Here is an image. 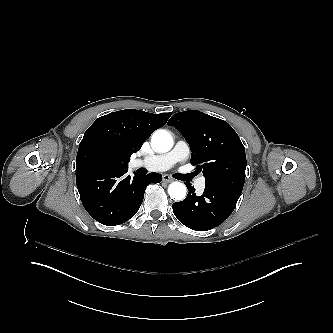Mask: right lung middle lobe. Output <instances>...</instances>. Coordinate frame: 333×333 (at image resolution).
I'll return each mask as SVG.
<instances>
[{"label":"right lung middle lobe","mask_w":333,"mask_h":333,"mask_svg":"<svg viewBox=\"0 0 333 333\" xmlns=\"http://www.w3.org/2000/svg\"><path fill=\"white\" fill-rule=\"evenodd\" d=\"M91 167L114 168V165L103 157H95L91 162Z\"/></svg>","instance_id":"right-lung-middle-lobe-1"}]
</instances>
